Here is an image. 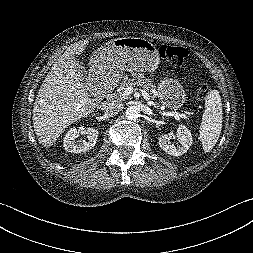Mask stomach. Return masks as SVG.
<instances>
[{
    "label": "stomach",
    "instance_id": "0dacf381",
    "mask_svg": "<svg viewBox=\"0 0 253 253\" xmlns=\"http://www.w3.org/2000/svg\"><path fill=\"white\" fill-rule=\"evenodd\" d=\"M160 57L151 41L138 37L113 39L99 48L91 58L92 76H119L123 71H154ZM160 102L167 108L177 110L185 102L182 84L173 78L165 77L158 83Z\"/></svg>",
    "mask_w": 253,
    "mask_h": 253
}]
</instances>
